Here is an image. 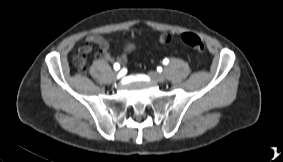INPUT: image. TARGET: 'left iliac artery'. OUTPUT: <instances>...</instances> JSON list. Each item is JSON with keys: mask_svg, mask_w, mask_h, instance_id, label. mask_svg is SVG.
Segmentation results:
<instances>
[{"mask_svg": "<svg viewBox=\"0 0 283 162\" xmlns=\"http://www.w3.org/2000/svg\"><path fill=\"white\" fill-rule=\"evenodd\" d=\"M168 62H169V60L167 58L163 60L164 65L168 64Z\"/></svg>", "mask_w": 283, "mask_h": 162, "instance_id": "left-iliac-artery-1", "label": "left iliac artery"}]
</instances>
